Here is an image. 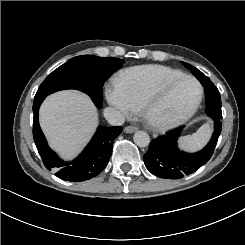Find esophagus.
Instances as JSON below:
<instances>
[{
    "label": "esophagus",
    "mask_w": 245,
    "mask_h": 245,
    "mask_svg": "<svg viewBox=\"0 0 245 245\" xmlns=\"http://www.w3.org/2000/svg\"><path fill=\"white\" fill-rule=\"evenodd\" d=\"M137 129H138V127H136V126H127V127H125L124 131L126 133L130 134V133L135 132Z\"/></svg>",
    "instance_id": "obj_1"
}]
</instances>
